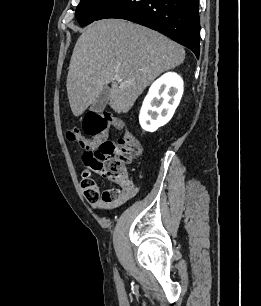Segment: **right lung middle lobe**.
I'll return each mask as SVG.
<instances>
[{"label":"right lung middle lobe","instance_id":"obj_1","mask_svg":"<svg viewBox=\"0 0 261 306\" xmlns=\"http://www.w3.org/2000/svg\"><path fill=\"white\" fill-rule=\"evenodd\" d=\"M116 0H80L76 8V18L81 26L95 21Z\"/></svg>","mask_w":261,"mask_h":306}]
</instances>
